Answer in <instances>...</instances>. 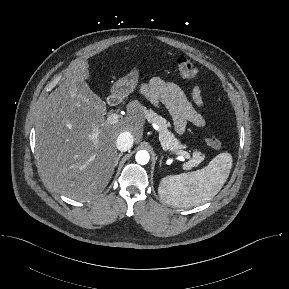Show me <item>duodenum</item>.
I'll return each mask as SVG.
<instances>
[{
  "instance_id": "obj_1",
  "label": "duodenum",
  "mask_w": 289,
  "mask_h": 289,
  "mask_svg": "<svg viewBox=\"0 0 289 289\" xmlns=\"http://www.w3.org/2000/svg\"><path fill=\"white\" fill-rule=\"evenodd\" d=\"M118 103V99L115 96L109 98V105L115 106Z\"/></svg>"
}]
</instances>
